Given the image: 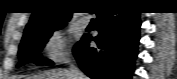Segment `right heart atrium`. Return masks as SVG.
I'll use <instances>...</instances> for the list:
<instances>
[{
    "label": "right heart atrium",
    "instance_id": "right-heart-atrium-1",
    "mask_svg": "<svg viewBox=\"0 0 177 79\" xmlns=\"http://www.w3.org/2000/svg\"><path fill=\"white\" fill-rule=\"evenodd\" d=\"M44 54L46 59L54 64L64 61L69 54L68 39L63 30L52 31L44 41Z\"/></svg>",
    "mask_w": 177,
    "mask_h": 79
}]
</instances>
